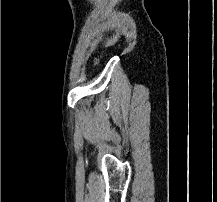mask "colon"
<instances>
[{
	"mask_svg": "<svg viewBox=\"0 0 217 202\" xmlns=\"http://www.w3.org/2000/svg\"><path fill=\"white\" fill-rule=\"evenodd\" d=\"M111 41L112 40H110V39H104V40L100 41L98 43V46H97L98 50H100L102 52ZM98 62L99 61H96L95 64H97Z\"/></svg>",
	"mask_w": 217,
	"mask_h": 202,
	"instance_id": "5ec220e1",
	"label": "colon"
}]
</instances>
